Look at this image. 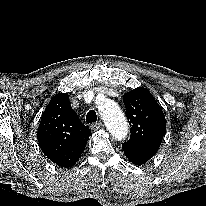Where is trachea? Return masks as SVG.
Returning <instances> with one entry per match:
<instances>
[{"mask_svg":"<svg viewBox=\"0 0 206 206\" xmlns=\"http://www.w3.org/2000/svg\"><path fill=\"white\" fill-rule=\"evenodd\" d=\"M97 121V115L94 110H90L86 115V122L87 123H94Z\"/></svg>","mask_w":206,"mask_h":206,"instance_id":"obj_1","label":"trachea"}]
</instances>
